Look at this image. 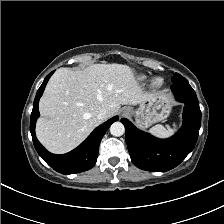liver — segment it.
Segmentation results:
<instances>
[{"mask_svg":"<svg viewBox=\"0 0 224 224\" xmlns=\"http://www.w3.org/2000/svg\"><path fill=\"white\" fill-rule=\"evenodd\" d=\"M154 95L144 92L134 71L123 64H94L84 70L60 68L40 99L36 124L39 141L51 152L66 153L78 146L107 110L114 116L121 105H139Z\"/></svg>","mask_w":224,"mask_h":224,"instance_id":"1","label":"liver"}]
</instances>
